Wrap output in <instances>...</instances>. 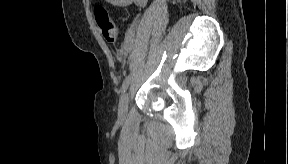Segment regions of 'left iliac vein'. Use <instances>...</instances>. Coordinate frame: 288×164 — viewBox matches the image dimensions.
<instances>
[{
  "label": "left iliac vein",
  "mask_w": 288,
  "mask_h": 164,
  "mask_svg": "<svg viewBox=\"0 0 288 164\" xmlns=\"http://www.w3.org/2000/svg\"><path fill=\"white\" fill-rule=\"evenodd\" d=\"M128 103H129V95L128 93H124L118 104V118L125 119L128 113Z\"/></svg>",
  "instance_id": "left-iliac-vein-1"
}]
</instances>
